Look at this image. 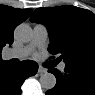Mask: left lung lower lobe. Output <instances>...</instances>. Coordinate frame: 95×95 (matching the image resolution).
Masks as SVG:
<instances>
[{
  "label": "left lung lower lobe",
  "mask_w": 95,
  "mask_h": 95,
  "mask_svg": "<svg viewBox=\"0 0 95 95\" xmlns=\"http://www.w3.org/2000/svg\"><path fill=\"white\" fill-rule=\"evenodd\" d=\"M64 71L49 69L57 82L47 95H95V70L66 64Z\"/></svg>",
  "instance_id": "1"
}]
</instances>
